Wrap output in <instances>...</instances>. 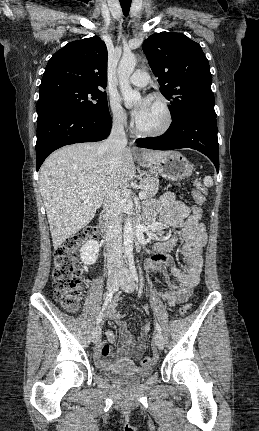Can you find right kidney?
Here are the masks:
<instances>
[{
	"label": "right kidney",
	"mask_w": 259,
	"mask_h": 431,
	"mask_svg": "<svg viewBox=\"0 0 259 431\" xmlns=\"http://www.w3.org/2000/svg\"><path fill=\"white\" fill-rule=\"evenodd\" d=\"M98 255L99 244L95 239L88 240L80 249L81 260L86 265H93L97 261Z\"/></svg>",
	"instance_id": "ca27d5eb"
}]
</instances>
